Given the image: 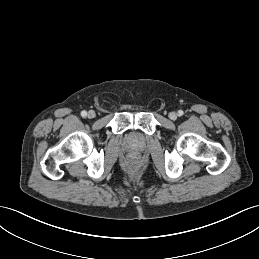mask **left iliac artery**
<instances>
[{"label": "left iliac artery", "mask_w": 259, "mask_h": 259, "mask_svg": "<svg viewBox=\"0 0 259 259\" xmlns=\"http://www.w3.org/2000/svg\"><path fill=\"white\" fill-rule=\"evenodd\" d=\"M183 114H184V113H183L182 110H179V111H178V115H179V116H182Z\"/></svg>", "instance_id": "obj_1"}]
</instances>
